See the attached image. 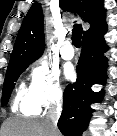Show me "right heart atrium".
Wrapping results in <instances>:
<instances>
[{
  "label": "right heart atrium",
  "mask_w": 117,
  "mask_h": 136,
  "mask_svg": "<svg viewBox=\"0 0 117 136\" xmlns=\"http://www.w3.org/2000/svg\"><path fill=\"white\" fill-rule=\"evenodd\" d=\"M28 92L40 108L59 103L64 94L58 71L43 59H37L30 68Z\"/></svg>",
  "instance_id": "d8ad5b80"
}]
</instances>
